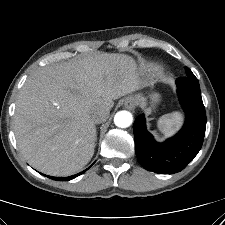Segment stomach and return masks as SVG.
Masks as SVG:
<instances>
[{"label": "stomach", "mask_w": 225, "mask_h": 225, "mask_svg": "<svg viewBox=\"0 0 225 225\" xmlns=\"http://www.w3.org/2000/svg\"><path fill=\"white\" fill-rule=\"evenodd\" d=\"M151 107H154L160 100V96L158 93H151L149 95Z\"/></svg>", "instance_id": "obj_1"}]
</instances>
